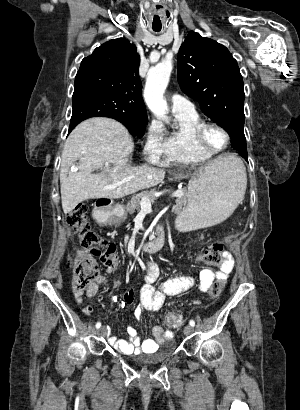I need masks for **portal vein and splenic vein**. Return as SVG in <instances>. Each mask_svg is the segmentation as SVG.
<instances>
[{
  "mask_svg": "<svg viewBox=\"0 0 300 410\" xmlns=\"http://www.w3.org/2000/svg\"><path fill=\"white\" fill-rule=\"evenodd\" d=\"M182 195H183V191L182 190H177L172 194V197H181ZM141 206L145 211H147L149 213L152 211L151 202L147 197H142Z\"/></svg>",
  "mask_w": 300,
  "mask_h": 410,
  "instance_id": "obj_1",
  "label": "portal vein and splenic vein"
}]
</instances>
